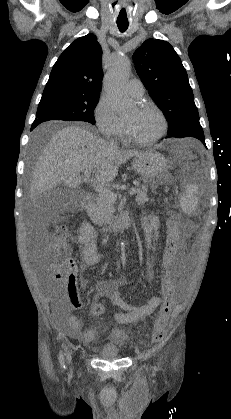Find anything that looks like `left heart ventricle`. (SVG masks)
Listing matches in <instances>:
<instances>
[{
	"label": "left heart ventricle",
	"instance_id": "obj_1",
	"mask_svg": "<svg viewBox=\"0 0 231 419\" xmlns=\"http://www.w3.org/2000/svg\"><path fill=\"white\" fill-rule=\"evenodd\" d=\"M133 135L148 139L155 136L161 129V120L152 110H141L135 107L125 117Z\"/></svg>",
	"mask_w": 231,
	"mask_h": 419
}]
</instances>
